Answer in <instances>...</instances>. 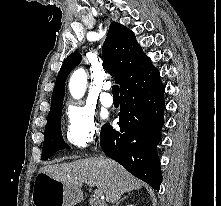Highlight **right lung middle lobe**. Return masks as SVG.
I'll return each mask as SVG.
<instances>
[{"label": "right lung middle lobe", "mask_w": 221, "mask_h": 206, "mask_svg": "<svg viewBox=\"0 0 221 206\" xmlns=\"http://www.w3.org/2000/svg\"><path fill=\"white\" fill-rule=\"evenodd\" d=\"M61 107L48 114L41 159L45 160L61 149L69 148L61 134Z\"/></svg>", "instance_id": "right-lung-middle-lobe-1"}]
</instances>
